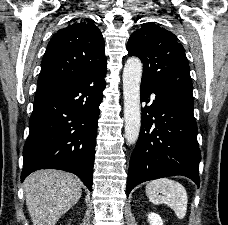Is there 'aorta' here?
Masks as SVG:
<instances>
[{
  "label": "aorta",
  "mask_w": 228,
  "mask_h": 225,
  "mask_svg": "<svg viewBox=\"0 0 228 225\" xmlns=\"http://www.w3.org/2000/svg\"><path fill=\"white\" fill-rule=\"evenodd\" d=\"M142 76V62L140 58L131 56L125 62L123 70V96L125 139L128 145L138 141L141 127L140 110V82Z\"/></svg>",
  "instance_id": "1"
}]
</instances>
